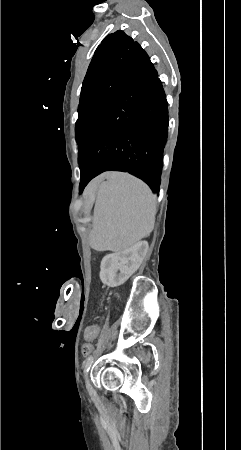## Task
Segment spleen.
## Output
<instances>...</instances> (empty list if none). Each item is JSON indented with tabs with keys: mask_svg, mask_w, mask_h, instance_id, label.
Here are the masks:
<instances>
[{
	"mask_svg": "<svg viewBox=\"0 0 241 450\" xmlns=\"http://www.w3.org/2000/svg\"><path fill=\"white\" fill-rule=\"evenodd\" d=\"M98 211L88 242L95 253L122 252L150 236L155 222L156 198L142 180L112 172L99 186Z\"/></svg>",
	"mask_w": 241,
	"mask_h": 450,
	"instance_id": "3e777b00",
	"label": "spleen"
}]
</instances>
